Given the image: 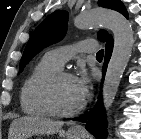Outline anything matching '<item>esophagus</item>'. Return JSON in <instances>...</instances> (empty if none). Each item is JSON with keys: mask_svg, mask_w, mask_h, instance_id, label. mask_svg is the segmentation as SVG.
<instances>
[{"mask_svg": "<svg viewBox=\"0 0 141 139\" xmlns=\"http://www.w3.org/2000/svg\"><path fill=\"white\" fill-rule=\"evenodd\" d=\"M73 129L74 130H78V131H81V130H83V128L81 127V126H73Z\"/></svg>", "mask_w": 141, "mask_h": 139, "instance_id": "esophagus-1", "label": "esophagus"}]
</instances>
